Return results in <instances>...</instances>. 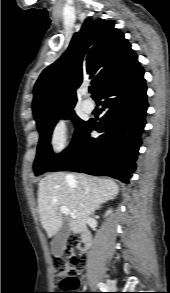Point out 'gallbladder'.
Here are the masks:
<instances>
[{
  "label": "gallbladder",
  "instance_id": "1",
  "mask_svg": "<svg viewBox=\"0 0 170 293\" xmlns=\"http://www.w3.org/2000/svg\"><path fill=\"white\" fill-rule=\"evenodd\" d=\"M70 236L69 222L65 221L58 232L54 235L51 243V252L54 256L60 257L65 249V244Z\"/></svg>",
  "mask_w": 170,
  "mask_h": 293
}]
</instances>
